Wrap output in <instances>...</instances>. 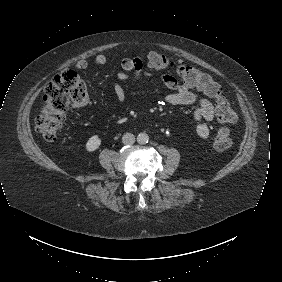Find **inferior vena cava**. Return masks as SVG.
I'll list each match as a JSON object with an SVG mask.
<instances>
[{
	"mask_svg": "<svg viewBox=\"0 0 282 282\" xmlns=\"http://www.w3.org/2000/svg\"><path fill=\"white\" fill-rule=\"evenodd\" d=\"M122 143L124 145H133L135 143V136L132 133H125L122 136Z\"/></svg>",
	"mask_w": 282,
	"mask_h": 282,
	"instance_id": "inferior-vena-cava-1",
	"label": "inferior vena cava"
}]
</instances>
